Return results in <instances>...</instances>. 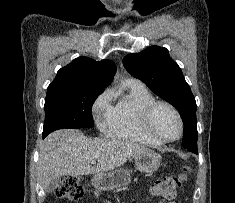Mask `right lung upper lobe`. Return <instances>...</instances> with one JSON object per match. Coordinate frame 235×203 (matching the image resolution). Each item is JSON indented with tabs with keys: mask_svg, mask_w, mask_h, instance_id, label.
I'll return each instance as SVG.
<instances>
[{
	"mask_svg": "<svg viewBox=\"0 0 235 203\" xmlns=\"http://www.w3.org/2000/svg\"><path fill=\"white\" fill-rule=\"evenodd\" d=\"M116 65L110 60L95 61L79 57L58 70L48 89L59 87H91L104 90L111 83Z\"/></svg>",
	"mask_w": 235,
	"mask_h": 203,
	"instance_id": "1",
	"label": "right lung upper lobe"
}]
</instances>
